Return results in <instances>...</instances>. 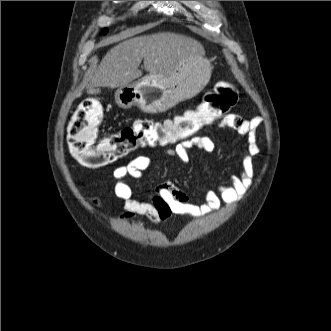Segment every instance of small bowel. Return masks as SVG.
Segmentation results:
<instances>
[{
	"label": "small bowel",
	"instance_id": "obj_1",
	"mask_svg": "<svg viewBox=\"0 0 331 331\" xmlns=\"http://www.w3.org/2000/svg\"><path fill=\"white\" fill-rule=\"evenodd\" d=\"M261 124L260 116L245 119L236 114H228L222 119L221 126L233 128L239 134L246 136L248 147L240 162V172L231 174L227 183L218 184L215 189L206 190L203 193L204 202L201 205L190 203L187 194L168 181L155 187L149 200L135 199L128 178H140L151 166V159L147 156H138L128 164L117 167L113 172L114 192L123 201V218L136 220L145 217L154 224L182 215L202 218L219 209L222 203L231 204L240 200L252 183L253 157L259 153L256 132ZM192 148L210 153L215 150V143L208 135H198L192 139L180 141L165 153L186 163L189 160L188 152Z\"/></svg>",
	"mask_w": 331,
	"mask_h": 331
}]
</instances>
